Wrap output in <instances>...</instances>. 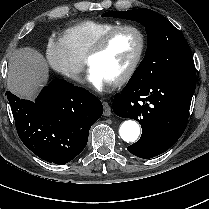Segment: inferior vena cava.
<instances>
[{
    "mask_svg": "<svg viewBox=\"0 0 209 209\" xmlns=\"http://www.w3.org/2000/svg\"><path fill=\"white\" fill-rule=\"evenodd\" d=\"M74 80H76V81H79V82H80V81H81V78H80L79 76H75V77H74Z\"/></svg>",
    "mask_w": 209,
    "mask_h": 209,
    "instance_id": "602c4592",
    "label": "inferior vena cava"
}]
</instances>
